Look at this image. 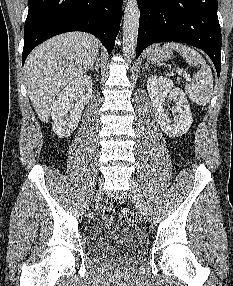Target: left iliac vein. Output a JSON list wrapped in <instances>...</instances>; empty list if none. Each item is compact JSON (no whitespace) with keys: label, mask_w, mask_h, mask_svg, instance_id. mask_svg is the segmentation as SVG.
I'll list each match as a JSON object with an SVG mask.
<instances>
[{"label":"left iliac vein","mask_w":233,"mask_h":286,"mask_svg":"<svg viewBox=\"0 0 233 286\" xmlns=\"http://www.w3.org/2000/svg\"><path fill=\"white\" fill-rule=\"evenodd\" d=\"M130 185V196L135 200L141 214L144 216L145 219L148 220L149 208L144 198V195L142 194L139 184L134 179H131Z\"/></svg>","instance_id":"left-iliac-vein-1"}]
</instances>
